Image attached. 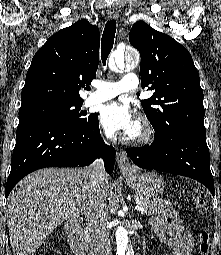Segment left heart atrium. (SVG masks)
Here are the masks:
<instances>
[{
	"instance_id": "39dd6f15",
	"label": "left heart atrium",
	"mask_w": 221,
	"mask_h": 255,
	"mask_svg": "<svg viewBox=\"0 0 221 255\" xmlns=\"http://www.w3.org/2000/svg\"><path fill=\"white\" fill-rule=\"evenodd\" d=\"M100 122L109 135L127 133L135 125L129 106L118 102H110L103 106L100 112Z\"/></svg>"
}]
</instances>
